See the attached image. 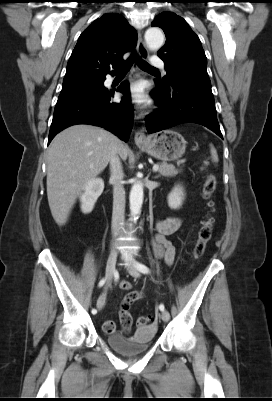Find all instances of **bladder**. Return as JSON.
Here are the masks:
<instances>
[{"mask_svg": "<svg viewBox=\"0 0 272 401\" xmlns=\"http://www.w3.org/2000/svg\"><path fill=\"white\" fill-rule=\"evenodd\" d=\"M156 328L152 326L139 327L134 335L127 337L120 333L107 335L109 346L118 353L126 356L140 355L149 350Z\"/></svg>", "mask_w": 272, "mask_h": 401, "instance_id": "1", "label": "bladder"}]
</instances>
